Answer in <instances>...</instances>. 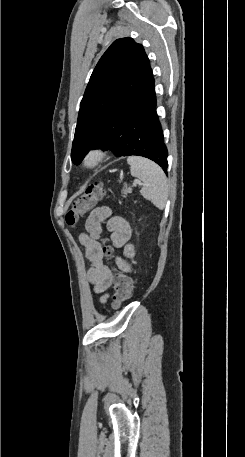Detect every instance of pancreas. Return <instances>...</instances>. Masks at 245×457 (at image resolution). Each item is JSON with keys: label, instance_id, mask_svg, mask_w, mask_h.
<instances>
[{"label": "pancreas", "instance_id": "pancreas-1", "mask_svg": "<svg viewBox=\"0 0 245 457\" xmlns=\"http://www.w3.org/2000/svg\"><path fill=\"white\" fill-rule=\"evenodd\" d=\"M128 192H132V188H131V186H127V184H125V186L122 190V194H128Z\"/></svg>", "mask_w": 245, "mask_h": 457}]
</instances>
